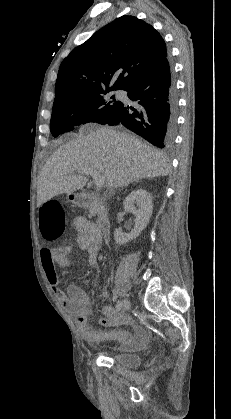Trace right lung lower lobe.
<instances>
[{
	"mask_svg": "<svg viewBox=\"0 0 231 419\" xmlns=\"http://www.w3.org/2000/svg\"><path fill=\"white\" fill-rule=\"evenodd\" d=\"M135 106L121 103L100 124H123L158 148H169L176 130L177 92L166 58L125 89Z\"/></svg>",
	"mask_w": 231,
	"mask_h": 419,
	"instance_id": "1",
	"label": "right lung lower lobe"
}]
</instances>
